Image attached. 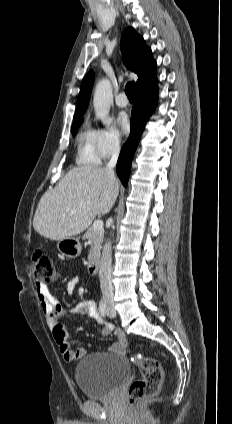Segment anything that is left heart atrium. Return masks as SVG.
Segmentation results:
<instances>
[{
	"instance_id": "left-heart-atrium-1",
	"label": "left heart atrium",
	"mask_w": 232,
	"mask_h": 424,
	"mask_svg": "<svg viewBox=\"0 0 232 424\" xmlns=\"http://www.w3.org/2000/svg\"><path fill=\"white\" fill-rule=\"evenodd\" d=\"M117 121H118V124H119L122 132L127 134L130 130V124H129V119H128L127 115L120 114L118 116Z\"/></svg>"
}]
</instances>
